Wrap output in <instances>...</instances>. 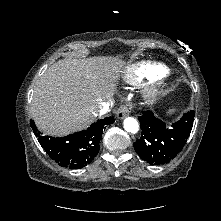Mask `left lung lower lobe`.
I'll list each match as a JSON object with an SVG mask.
<instances>
[{
	"label": "left lung lower lobe",
	"mask_w": 221,
	"mask_h": 221,
	"mask_svg": "<svg viewBox=\"0 0 221 221\" xmlns=\"http://www.w3.org/2000/svg\"><path fill=\"white\" fill-rule=\"evenodd\" d=\"M138 120L142 135L134 142V149L144 161L160 165L170 162L182 150L193 126L194 112L185 113L173 124L157 118L152 111H144Z\"/></svg>",
	"instance_id": "obj_1"
}]
</instances>
